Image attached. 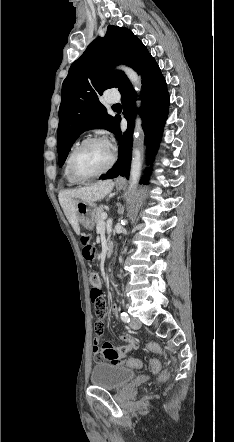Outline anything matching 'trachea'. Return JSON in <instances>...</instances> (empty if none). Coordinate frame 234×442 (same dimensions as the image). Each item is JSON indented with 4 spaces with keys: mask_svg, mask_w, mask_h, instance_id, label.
<instances>
[{
    "mask_svg": "<svg viewBox=\"0 0 234 442\" xmlns=\"http://www.w3.org/2000/svg\"><path fill=\"white\" fill-rule=\"evenodd\" d=\"M113 107H121V105L120 104H115V105H113Z\"/></svg>",
    "mask_w": 234,
    "mask_h": 442,
    "instance_id": "trachea-1",
    "label": "trachea"
}]
</instances>
